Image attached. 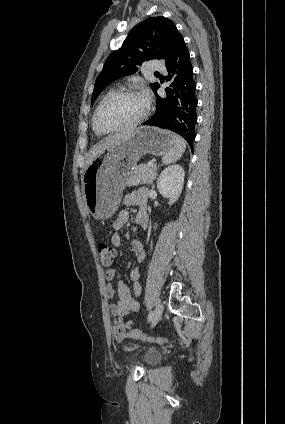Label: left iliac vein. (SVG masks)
Returning <instances> with one entry per match:
<instances>
[{"instance_id":"1","label":"left iliac vein","mask_w":285,"mask_h":424,"mask_svg":"<svg viewBox=\"0 0 285 424\" xmlns=\"http://www.w3.org/2000/svg\"><path fill=\"white\" fill-rule=\"evenodd\" d=\"M162 313H163V303L160 300H158L156 303L155 311H154L152 326L156 325L157 322L161 319Z\"/></svg>"}]
</instances>
